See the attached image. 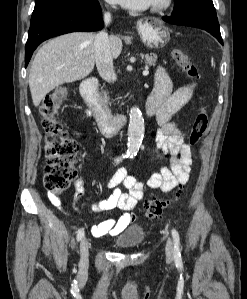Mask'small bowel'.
Segmentation results:
<instances>
[{
  "label": "small bowel",
  "mask_w": 247,
  "mask_h": 299,
  "mask_svg": "<svg viewBox=\"0 0 247 299\" xmlns=\"http://www.w3.org/2000/svg\"><path fill=\"white\" fill-rule=\"evenodd\" d=\"M195 84L189 82L183 87L173 90V84L167 71L160 67L155 75V85L148 102L156 107V119L160 126L155 140L157 148L165 155H169V163L162 166L143 183L136 176L128 173L125 166H120L106 180V187L112 193L104 199L90 205L93 212H104L119 209L124 213L117 219H105L91 227L94 237L116 236L123 232L133 221L131 211L144 198L146 188L159 189L169 193L175 188L185 185L190 176L192 154L189 145L171 117L187 104L194 95ZM84 195V185L81 179L75 183L74 203ZM51 202L62 208L61 200L54 194L50 195ZM77 211L78 208L75 207Z\"/></svg>",
  "instance_id": "1"
}]
</instances>
